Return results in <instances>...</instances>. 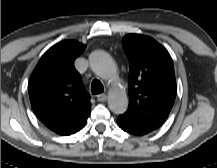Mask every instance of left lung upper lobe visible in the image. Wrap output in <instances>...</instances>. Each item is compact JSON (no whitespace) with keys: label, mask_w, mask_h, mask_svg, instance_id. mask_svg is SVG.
Here are the masks:
<instances>
[{"label":"left lung upper lobe","mask_w":217,"mask_h":168,"mask_svg":"<svg viewBox=\"0 0 217 168\" xmlns=\"http://www.w3.org/2000/svg\"><path fill=\"white\" fill-rule=\"evenodd\" d=\"M129 60V108L121 115L130 123L156 130L166 121L177 94L173 61L153 38L128 34L122 40Z\"/></svg>","instance_id":"obj_1"}]
</instances>
